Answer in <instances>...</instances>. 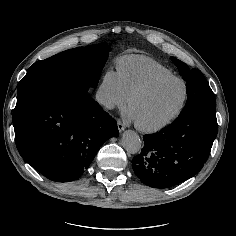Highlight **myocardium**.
Wrapping results in <instances>:
<instances>
[{
	"label": "myocardium",
	"instance_id": "myocardium-1",
	"mask_svg": "<svg viewBox=\"0 0 236 236\" xmlns=\"http://www.w3.org/2000/svg\"><path fill=\"white\" fill-rule=\"evenodd\" d=\"M167 81H179L183 84L184 94H183V98H182L180 106L169 118L165 119L164 121H162L160 123H157V124H154L151 126H146V125L140 124L134 120V125L138 130H140L144 133H156L158 131H161V130L165 129L166 127L170 126L171 124H173L180 117L182 112L184 111L186 104H187L188 96H189V87H188L187 82L182 77L176 76V75H167V76L157 77V78L151 80L150 82H148L147 84H145L143 87L136 90L129 98V102H128L129 110H131L133 103L137 99L148 94L155 87H157L158 85H160L164 82H167Z\"/></svg>",
	"mask_w": 236,
	"mask_h": 236
}]
</instances>
